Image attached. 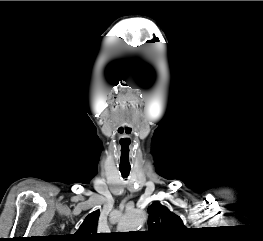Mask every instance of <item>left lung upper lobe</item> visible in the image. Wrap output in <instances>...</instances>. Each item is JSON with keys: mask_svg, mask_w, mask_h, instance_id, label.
I'll return each mask as SVG.
<instances>
[{"mask_svg": "<svg viewBox=\"0 0 263 241\" xmlns=\"http://www.w3.org/2000/svg\"><path fill=\"white\" fill-rule=\"evenodd\" d=\"M148 233L159 241H181L187 228L181 218L165 206L154 202L148 207Z\"/></svg>", "mask_w": 263, "mask_h": 241, "instance_id": "left-lung-upper-lobe-1", "label": "left lung upper lobe"}]
</instances>
